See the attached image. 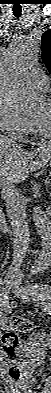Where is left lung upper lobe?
<instances>
[{"label":"left lung upper lobe","mask_w":51,"mask_h":393,"mask_svg":"<svg viewBox=\"0 0 51 393\" xmlns=\"http://www.w3.org/2000/svg\"><path fill=\"white\" fill-rule=\"evenodd\" d=\"M42 59L51 73V29L42 36Z\"/></svg>","instance_id":"5c2ea615"}]
</instances>
